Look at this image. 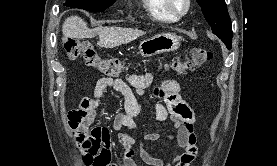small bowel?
<instances>
[{
  "mask_svg": "<svg viewBox=\"0 0 277 166\" xmlns=\"http://www.w3.org/2000/svg\"><path fill=\"white\" fill-rule=\"evenodd\" d=\"M152 81L151 73L131 74L125 80L103 77L96 82L93 96L81 101L79 108L75 111L82 112L87 126H90L96 116V107L108 88L121 94L124 99L123 110L117 112L113 121L117 141L122 147V164L118 165L112 160L114 140L111 130L106 126H97L80 141L83 159L88 165L137 166L134 160L137 152L140 159L149 166H191L198 155L197 136L194 130L195 114L191 107L182 100L178 82L172 79L163 80L159 88L155 90V96L158 98L155 105V117L159 122L169 119L176 132L166 135L158 132L146 133L135 150L137 141L131 131L135 129L134 119L141 111L137 96L145 95ZM75 111L68 116L70 127L75 118ZM163 137L171 141L180 152L174 151L170 157H164L159 151L150 153L146 149L147 143L156 142Z\"/></svg>",
  "mask_w": 277,
  "mask_h": 166,
  "instance_id": "1",
  "label": "small bowel"
}]
</instances>
